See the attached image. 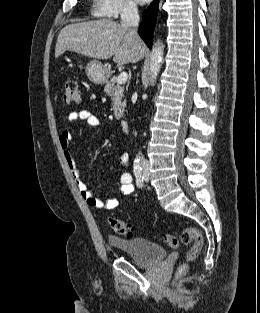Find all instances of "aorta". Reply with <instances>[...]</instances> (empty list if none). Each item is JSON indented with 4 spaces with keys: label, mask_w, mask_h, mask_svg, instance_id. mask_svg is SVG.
Wrapping results in <instances>:
<instances>
[{
    "label": "aorta",
    "mask_w": 260,
    "mask_h": 313,
    "mask_svg": "<svg viewBox=\"0 0 260 313\" xmlns=\"http://www.w3.org/2000/svg\"><path fill=\"white\" fill-rule=\"evenodd\" d=\"M163 51L164 46L159 41L154 44L151 55H150V84H154L161 69V65L163 62ZM141 156L140 153L136 157V161H140Z\"/></svg>",
    "instance_id": "aorta-1"
}]
</instances>
